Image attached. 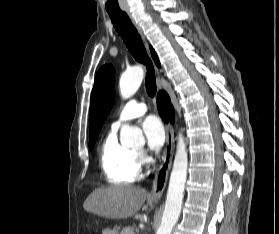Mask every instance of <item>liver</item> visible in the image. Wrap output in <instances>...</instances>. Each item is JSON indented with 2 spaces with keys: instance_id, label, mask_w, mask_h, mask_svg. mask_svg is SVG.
Instances as JSON below:
<instances>
[{
  "instance_id": "obj_1",
  "label": "liver",
  "mask_w": 279,
  "mask_h": 234,
  "mask_svg": "<svg viewBox=\"0 0 279 234\" xmlns=\"http://www.w3.org/2000/svg\"><path fill=\"white\" fill-rule=\"evenodd\" d=\"M143 188L116 185L95 189L85 200L83 208L108 219H125L135 215L145 202Z\"/></svg>"
}]
</instances>
